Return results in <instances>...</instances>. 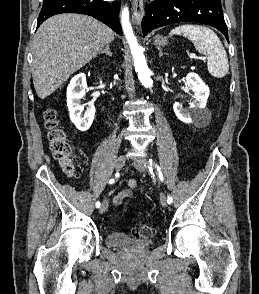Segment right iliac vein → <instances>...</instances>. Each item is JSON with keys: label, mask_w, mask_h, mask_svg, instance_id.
<instances>
[{"label": "right iliac vein", "mask_w": 259, "mask_h": 294, "mask_svg": "<svg viewBox=\"0 0 259 294\" xmlns=\"http://www.w3.org/2000/svg\"><path fill=\"white\" fill-rule=\"evenodd\" d=\"M124 165H125V156L121 155L116 160L115 168H116L117 171H120L123 168ZM107 207H108L107 200H104L101 207H100V209H99V212L101 214H103L107 210Z\"/></svg>", "instance_id": "63e3f726"}]
</instances>
